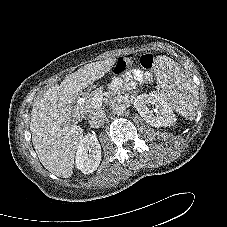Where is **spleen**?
I'll return each instance as SVG.
<instances>
[{"mask_svg": "<svg viewBox=\"0 0 227 227\" xmlns=\"http://www.w3.org/2000/svg\"><path fill=\"white\" fill-rule=\"evenodd\" d=\"M157 92L181 116L193 120L199 105L196 85L176 62L167 56L157 58Z\"/></svg>", "mask_w": 227, "mask_h": 227, "instance_id": "1", "label": "spleen"}]
</instances>
